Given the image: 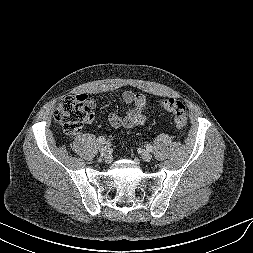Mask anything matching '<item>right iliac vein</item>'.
Instances as JSON below:
<instances>
[{"mask_svg": "<svg viewBox=\"0 0 253 253\" xmlns=\"http://www.w3.org/2000/svg\"><path fill=\"white\" fill-rule=\"evenodd\" d=\"M109 146L105 143L99 145V151L102 154H106L108 152Z\"/></svg>", "mask_w": 253, "mask_h": 253, "instance_id": "1", "label": "right iliac vein"}]
</instances>
